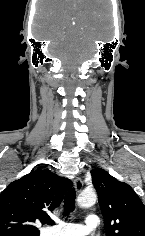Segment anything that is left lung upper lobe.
Here are the masks:
<instances>
[{
  "label": "left lung upper lobe",
  "mask_w": 145,
  "mask_h": 236,
  "mask_svg": "<svg viewBox=\"0 0 145 236\" xmlns=\"http://www.w3.org/2000/svg\"><path fill=\"white\" fill-rule=\"evenodd\" d=\"M91 175L106 236H145V206L133 189L102 168L91 170Z\"/></svg>",
  "instance_id": "left-lung-upper-lobe-1"
}]
</instances>
